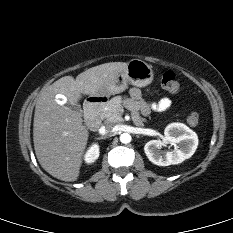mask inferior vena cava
Listing matches in <instances>:
<instances>
[{"label":"inferior vena cava","instance_id":"obj_1","mask_svg":"<svg viewBox=\"0 0 233 233\" xmlns=\"http://www.w3.org/2000/svg\"><path fill=\"white\" fill-rule=\"evenodd\" d=\"M115 132V127L112 124L107 123L105 126L101 127V134H111Z\"/></svg>","mask_w":233,"mask_h":233}]
</instances>
